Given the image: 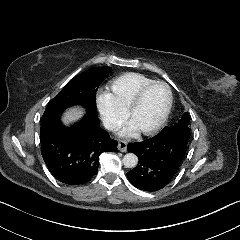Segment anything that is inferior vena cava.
Wrapping results in <instances>:
<instances>
[{
	"instance_id": "inferior-vena-cava-1",
	"label": "inferior vena cava",
	"mask_w": 240,
	"mask_h": 240,
	"mask_svg": "<svg viewBox=\"0 0 240 240\" xmlns=\"http://www.w3.org/2000/svg\"><path fill=\"white\" fill-rule=\"evenodd\" d=\"M104 127L108 130H116L120 128V124L116 121H112L110 119H105L103 121Z\"/></svg>"
}]
</instances>
